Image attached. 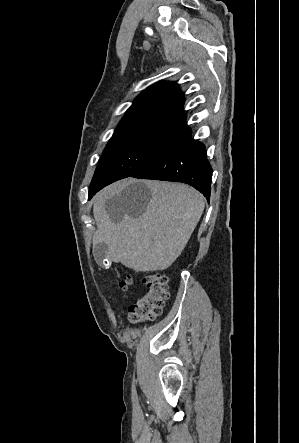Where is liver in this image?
Masks as SVG:
<instances>
[{
  "label": "liver",
  "mask_w": 299,
  "mask_h": 443,
  "mask_svg": "<svg viewBox=\"0 0 299 443\" xmlns=\"http://www.w3.org/2000/svg\"><path fill=\"white\" fill-rule=\"evenodd\" d=\"M128 186L131 198L123 201L120 194ZM93 203V245L105 243L109 260L136 272L167 269L183 251L205 207L202 194L188 185L135 179L107 186Z\"/></svg>",
  "instance_id": "1"
}]
</instances>
